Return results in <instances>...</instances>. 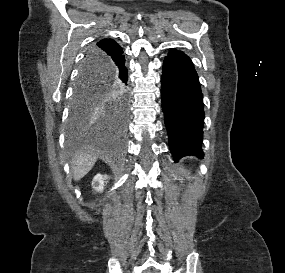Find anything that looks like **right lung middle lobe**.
<instances>
[{"instance_id": "1", "label": "right lung middle lobe", "mask_w": 285, "mask_h": 273, "mask_svg": "<svg viewBox=\"0 0 285 273\" xmlns=\"http://www.w3.org/2000/svg\"><path fill=\"white\" fill-rule=\"evenodd\" d=\"M99 58L90 49L76 80L70 113V126L75 129L99 101L109 95L125 94V87L115 80L105 57Z\"/></svg>"}]
</instances>
